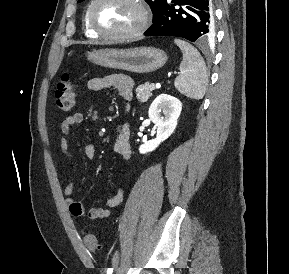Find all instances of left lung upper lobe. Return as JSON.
<instances>
[{
    "label": "left lung upper lobe",
    "instance_id": "left-lung-upper-lobe-1",
    "mask_svg": "<svg viewBox=\"0 0 289 274\" xmlns=\"http://www.w3.org/2000/svg\"><path fill=\"white\" fill-rule=\"evenodd\" d=\"M82 1H84V0H78V2H82ZM145 1L149 4V6L152 10L153 22H154L155 20L158 19L160 11H161L162 7L165 5L167 0H145Z\"/></svg>",
    "mask_w": 289,
    "mask_h": 274
}]
</instances>
